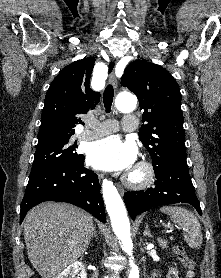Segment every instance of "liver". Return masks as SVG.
Here are the masks:
<instances>
[{
    "mask_svg": "<svg viewBox=\"0 0 221 278\" xmlns=\"http://www.w3.org/2000/svg\"><path fill=\"white\" fill-rule=\"evenodd\" d=\"M94 230L92 217L82 209L41 203L24 219L28 258L42 278H57L87 250Z\"/></svg>",
    "mask_w": 221,
    "mask_h": 278,
    "instance_id": "liver-1",
    "label": "liver"
}]
</instances>
